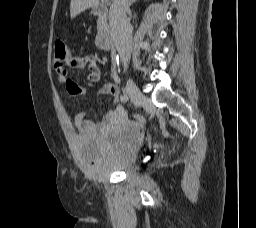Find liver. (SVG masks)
Wrapping results in <instances>:
<instances>
[{
	"label": "liver",
	"mask_w": 256,
	"mask_h": 228,
	"mask_svg": "<svg viewBox=\"0 0 256 228\" xmlns=\"http://www.w3.org/2000/svg\"><path fill=\"white\" fill-rule=\"evenodd\" d=\"M99 0H71L70 3V16L75 18L79 13L90 7H96Z\"/></svg>",
	"instance_id": "liver-1"
}]
</instances>
